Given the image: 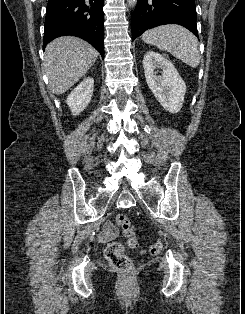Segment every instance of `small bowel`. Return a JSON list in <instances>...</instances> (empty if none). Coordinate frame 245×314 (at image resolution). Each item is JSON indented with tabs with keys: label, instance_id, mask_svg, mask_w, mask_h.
<instances>
[{
	"label": "small bowel",
	"instance_id": "small-bowel-1",
	"mask_svg": "<svg viewBox=\"0 0 245 314\" xmlns=\"http://www.w3.org/2000/svg\"><path fill=\"white\" fill-rule=\"evenodd\" d=\"M119 234V229L110 221L106 222L99 234V241L107 243L114 240Z\"/></svg>",
	"mask_w": 245,
	"mask_h": 314
}]
</instances>
